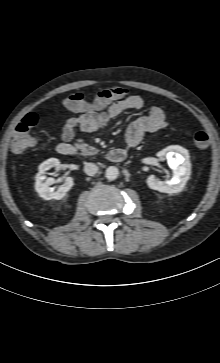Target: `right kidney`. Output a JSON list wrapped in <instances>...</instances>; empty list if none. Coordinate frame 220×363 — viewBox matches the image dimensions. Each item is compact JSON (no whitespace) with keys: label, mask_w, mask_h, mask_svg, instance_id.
<instances>
[{"label":"right kidney","mask_w":220,"mask_h":363,"mask_svg":"<svg viewBox=\"0 0 220 363\" xmlns=\"http://www.w3.org/2000/svg\"><path fill=\"white\" fill-rule=\"evenodd\" d=\"M60 161L56 158H50L39 165V172L35 177V190L45 200H60L74 185L72 177H66L65 182L55 191L50 185L53 184V178H46L45 173L47 170L58 167Z\"/></svg>","instance_id":"obj_1"}]
</instances>
